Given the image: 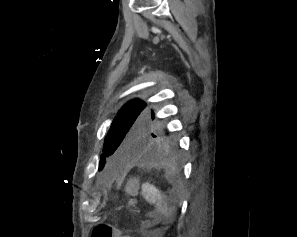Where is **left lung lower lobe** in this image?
I'll return each mask as SVG.
<instances>
[{
    "instance_id": "obj_1",
    "label": "left lung lower lobe",
    "mask_w": 297,
    "mask_h": 237,
    "mask_svg": "<svg viewBox=\"0 0 297 237\" xmlns=\"http://www.w3.org/2000/svg\"><path fill=\"white\" fill-rule=\"evenodd\" d=\"M168 134L160 135L159 138L153 143L150 152L147 154L149 157H156L162 155L167 150L173 149V144Z\"/></svg>"
}]
</instances>
